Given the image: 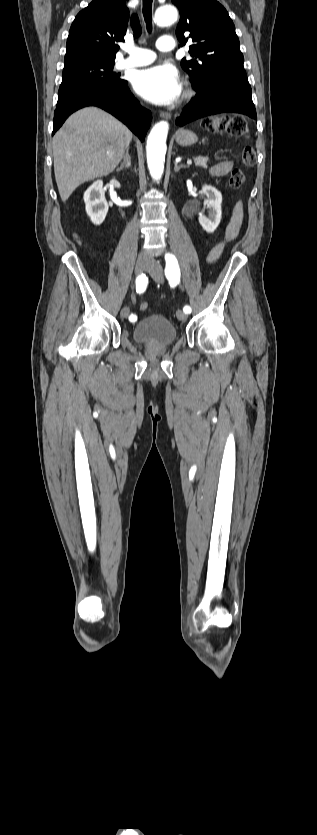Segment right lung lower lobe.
<instances>
[{
	"mask_svg": "<svg viewBox=\"0 0 317 835\" xmlns=\"http://www.w3.org/2000/svg\"><path fill=\"white\" fill-rule=\"evenodd\" d=\"M85 106H98L111 113L144 141L152 115L132 95L127 82L122 85L95 84L60 94L54 112L52 136L70 114Z\"/></svg>",
	"mask_w": 317,
	"mask_h": 835,
	"instance_id": "right-lung-lower-lobe-1",
	"label": "right lung lower lobe"
}]
</instances>
